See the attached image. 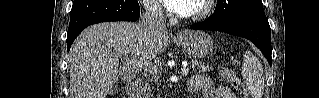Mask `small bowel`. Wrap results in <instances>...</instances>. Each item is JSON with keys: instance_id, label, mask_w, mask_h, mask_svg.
<instances>
[{"instance_id": "1", "label": "small bowel", "mask_w": 319, "mask_h": 98, "mask_svg": "<svg viewBox=\"0 0 319 98\" xmlns=\"http://www.w3.org/2000/svg\"><path fill=\"white\" fill-rule=\"evenodd\" d=\"M191 90L202 89L204 98H235L231 90L223 85H212L204 76H195L190 79Z\"/></svg>"}]
</instances>
